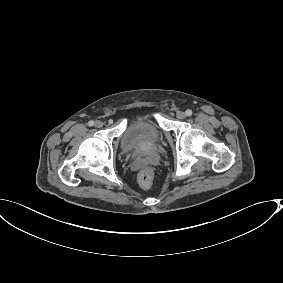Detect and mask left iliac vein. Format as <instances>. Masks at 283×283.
<instances>
[{"label": "left iliac vein", "instance_id": "1", "mask_svg": "<svg viewBox=\"0 0 283 283\" xmlns=\"http://www.w3.org/2000/svg\"><path fill=\"white\" fill-rule=\"evenodd\" d=\"M177 118L178 119H185L186 118V113L185 112H182V111H178L177 114H176Z\"/></svg>", "mask_w": 283, "mask_h": 283}]
</instances>
